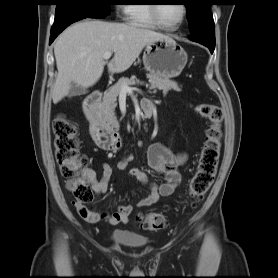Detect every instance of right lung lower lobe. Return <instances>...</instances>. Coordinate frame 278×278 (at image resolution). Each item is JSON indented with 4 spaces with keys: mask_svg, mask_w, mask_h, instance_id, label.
Returning <instances> with one entry per match:
<instances>
[{
    "mask_svg": "<svg viewBox=\"0 0 278 278\" xmlns=\"http://www.w3.org/2000/svg\"><path fill=\"white\" fill-rule=\"evenodd\" d=\"M84 18H86V17L73 18V19L67 20L57 26H53L51 29L50 44L58 36V34L61 33L67 26H69L70 24H72L78 20L84 19Z\"/></svg>",
    "mask_w": 278,
    "mask_h": 278,
    "instance_id": "98d812e1",
    "label": "right lung lower lobe"
}]
</instances>
